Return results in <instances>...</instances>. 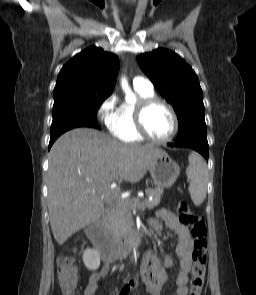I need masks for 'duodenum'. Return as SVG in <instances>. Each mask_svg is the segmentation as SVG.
Segmentation results:
<instances>
[{
  "instance_id": "1",
  "label": "duodenum",
  "mask_w": 256,
  "mask_h": 295,
  "mask_svg": "<svg viewBox=\"0 0 256 295\" xmlns=\"http://www.w3.org/2000/svg\"><path fill=\"white\" fill-rule=\"evenodd\" d=\"M108 214H101L87 228V236L99 251L104 263L111 264L125 257L133 248L139 246L144 238V232L135 228L123 241L114 243L107 236Z\"/></svg>"
}]
</instances>
